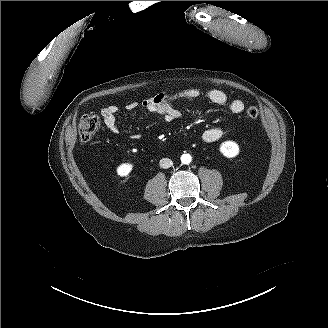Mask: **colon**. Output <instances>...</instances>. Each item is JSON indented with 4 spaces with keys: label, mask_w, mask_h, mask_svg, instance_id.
<instances>
[{
    "label": "colon",
    "mask_w": 328,
    "mask_h": 328,
    "mask_svg": "<svg viewBox=\"0 0 328 328\" xmlns=\"http://www.w3.org/2000/svg\"><path fill=\"white\" fill-rule=\"evenodd\" d=\"M246 115L250 119H256L259 115V110L255 106L247 109ZM100 126L98 117L92 114H85L79 121V135L82 142H88L96 134Z\"/></svg>",
    "instance_id": "5ec220e1"
}]
</instances>
